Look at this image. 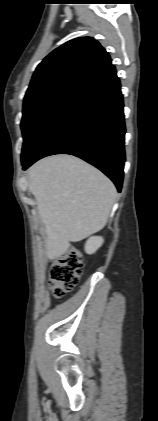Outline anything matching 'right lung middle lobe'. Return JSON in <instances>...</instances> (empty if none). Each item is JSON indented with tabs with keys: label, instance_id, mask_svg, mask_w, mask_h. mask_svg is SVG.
<instances>
[{
	"label": "right lung middle lobe",
	"instance_id": "dd1d6c3e",
	"mask_svg": "<svg viewBox=\"0 0 158 421\" xmlns=\"http://www.w3.org/2000/svg\"><path fill=\"white\" fill-rule=\"evenodd\" d=\"M80 86L74 82H60L25 95L21 121L22 162L28 158L47 123Z\"/></svg>",
	"mask_w": 158,
	"mask_h": 421
}]
</instances>
